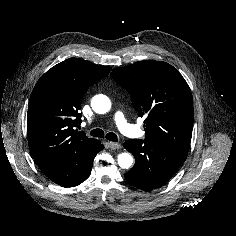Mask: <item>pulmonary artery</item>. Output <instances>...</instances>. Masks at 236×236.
Returning a JSON list of instances; mask_svg holds the SVG:
<instances>
[{
  "label": "pulmonary artery",
  "instance_id": "obj_1",
  "mask_svg": "<svg viewBox=\"0 0 236 236\" xmlns=\"http://www.w3.org/2000/svg\"><path fill=\"white\" fill-rule=\"evenodd\" d=\"M113 120L118 127V129L124 134V135H132L136 132H138V128L132 124H130L123 112L116 111L113 116Z\"/></svg>",
  "mask_w": 236,
  "mask_h": 236
}]
</instances>
